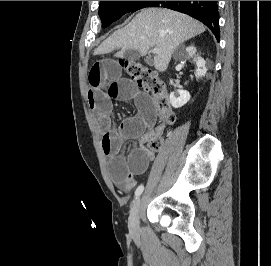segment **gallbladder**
Masks as SVG:
<instances>
[{"instance_id":"gallbladder-1","label":"gallbladder","mask_w":271,"mask_h":266,"mask_svg":"<svg viewBox=\"0 0 271 266\" xmlns=\"http://www.w3.org/2000/svg\"><path fill=\"white\" fill-rule=\"evenodd\" d=\"M133 54H135L134 51L132 50H126L124 53V58L128 59V60H132V59H136V56H132ZM147 63H150V59H146Z\"/></svg>"}]
</instances>
